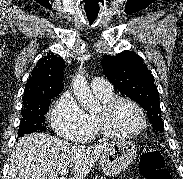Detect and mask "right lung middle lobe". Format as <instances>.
I'll list each match as a JSON object with an SVG mask.
<instances>
[{
	"instance_id": "dd1d6c3e",
	"label": "right lung middle lobe",
	"mask_w": 183,
	"mask_h": 179,
	"mask_svg": "<svg viewBox=\"0 0 183 179\" xmlns=\"http://www.w3.org/2000/svg\"><path fill=\"white\" fill-rule=\"evenodd\" d=\"M51 97H43L37 101L23 104L21 114L22 119L19 125L18 135L23 137L26 134L34 132H42L46 128L44 126L45 114L50 105Z\"/></svg>"
}]
</instances>
